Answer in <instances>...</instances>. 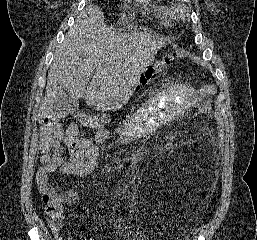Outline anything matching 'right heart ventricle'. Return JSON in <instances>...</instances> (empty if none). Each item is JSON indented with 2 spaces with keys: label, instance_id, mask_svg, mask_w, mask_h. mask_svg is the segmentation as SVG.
<instances>
[{
  "label": "right heart ventricle",
  "instance_id": "1",
  "mask_svg": "<svg viewBox=\"0 0 257 240\" xmlns=\"http://www.w3.org/2000/svg\"><path fill=\"white\" fill-rule=\"evenodd\" d=\"M154 13L159 19L160 23L164 26H170L174 18V11L172 8L164 5H152Z\"/></svg>",
  "mask_w": 257,
  "mask_h": 240
}]
</instances>
